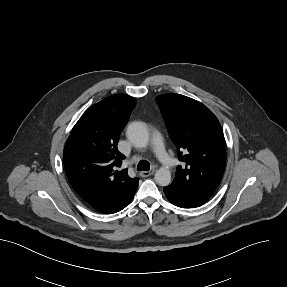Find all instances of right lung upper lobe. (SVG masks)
I'll return each instance as SVG.
<instances>
[{
  "instance_id": "obj_1",
  "label": "right lung upper lobe",
  "mask_w": 287,
  "mask_h": 287,
  "mask_svg": "<svg viewBox=\"0 0 287 287\" xmlns=\"http://www.w3.org/2000/svg\"><path fill=\"white\" fill-rule=\"evenodd\" d=\"M136 100L112 95L90 107L72 129L63 152L64 167L75 192L86 202L99 201L138 185L126 170L117 171L125 158L117 149L119 135Z\"/></svg>"
}]
</instances>
